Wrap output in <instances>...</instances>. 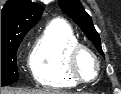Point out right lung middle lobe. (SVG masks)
Here are the masks:
<instances>
[{"instance_id":"1","label":"right lung middle lobe","mask_w":121,"mask_h":94,"mask_svg":"<svg viewBox=\"0 0 121 94\" xmlns=\"http://www.w3.org/2000/svg\"><path fill=\"white\" fill-rule=\"evenodd\" d=\"M27 32L19 31L1 38V86L10 85L19 79L16 52Z\"/></svg>"}]
</instances>
